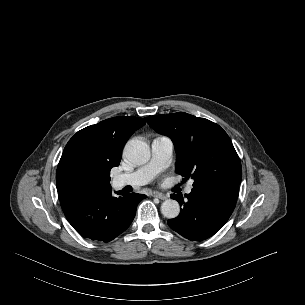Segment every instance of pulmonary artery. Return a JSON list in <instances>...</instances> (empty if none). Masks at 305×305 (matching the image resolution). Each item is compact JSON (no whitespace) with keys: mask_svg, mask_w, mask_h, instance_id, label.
<instances>
[{"mask_svg":"<svg viewBox=\"0 0 305 305\" xmlns=\"http://www.w3.org/2000/svg\"><path fill=\"white\" fill-rule=\"evenodd\" d=\"M174 145L172 140L164 135H159L152 142V157L144 166L133 172L121 173L113 178V185L117 188L126 185L142 186L152 181L171 162ZM192 191V183L185 188V193Z\"/></svg>","mask_w":305,"mask_h":305,"instance_id":"1","label":"pulmonary artery"}]
</instances>
